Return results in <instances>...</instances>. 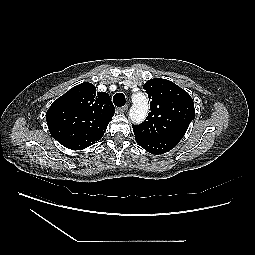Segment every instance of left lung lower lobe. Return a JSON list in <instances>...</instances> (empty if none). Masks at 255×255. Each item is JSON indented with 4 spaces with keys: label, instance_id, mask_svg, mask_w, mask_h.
Listing matches in <instances>:
<instances>
[{
    "label": "left lung lower lobe",
    "instance_id": "left-lung-lower-lobe-1",
    "mask_svg": "<svg viewBox=\"0 0 255 255\" xmlns=\"http://www.w3.org/2000/svg\"><path fill=\"white\" fill-rule=\"evenodd\" d=\"M136 142L144 148L146 151L159 155L166 153L173 149L179 142L180 140L176 139H169V138H164V139H138L135 138Z\"/></svg>",
    "mask_w": 255,
    "mask_h": 255
}]
</instances>
